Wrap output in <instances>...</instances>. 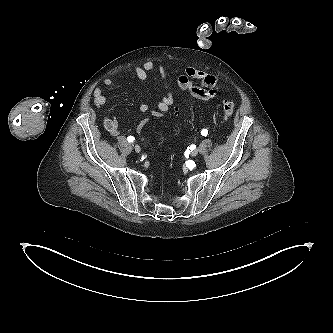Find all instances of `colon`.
Returning a JSON list of instances; mask_svg holds the SVG:
<instances>
[{"label": "colon", "instance_id": "5ec220e1", "mask_svg": "<svg viewBox=\"0 0 333 333\" xmlns=\"http://www.w3.org/2000/svg\"><path fill=\"white\" fill-rule=\"evenodd\" d=\"M222 112L225 118L232 116L234 112V104L232 101L226 100L222 104Z\"/></svg>", "mask_w": 333, "mask_h": 333}]
</instances>
